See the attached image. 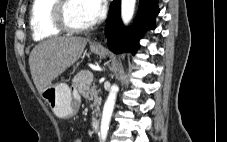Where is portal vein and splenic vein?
Wrapping results in <instances>:
<instances>
[{
    "label": "portal vein and splenic vein",
    "mask_w": 227,
    "mask_h": 142,
    "mask_svg": "<svg viewBox=\"0 0 227 142\" xmlns=\"http://www.w3.org/2000/svg\"><path fill=\"white\" fill-rule=\"evenodd\" d=\"M87 81L89 83H92L93 82V74L91 72H89L88 75H87Z\"/></svg>",
    "instance_id": "18ae733b"
}]
</instances>
